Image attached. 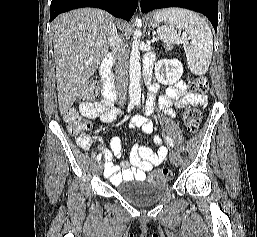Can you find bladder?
<instances>
[{"label": "bladder", "instance_id": "obj_1", "mask_svg": "<svg viewBox=\"0 0 257 237\" xmlns=\"http://www.w3.org/2000/svg\"><path fill=\"white\" fill-rule=\"evenodd\" d=\"M131 186L120 189L118 193L131 205L146 208L158 203L169 191V183L143 182V180H130Z\"/></svg>", "mask_w": 257, "mask_h": 237}]
</instances>
